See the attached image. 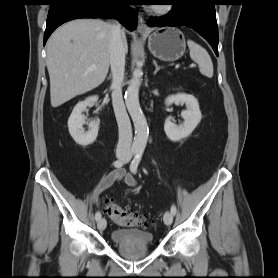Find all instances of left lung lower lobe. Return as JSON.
Segmentation results:
<instances>
[{"instance_id": "0a47b994", "label": "left lung lower lobe", "mask_w": 278, "mask_h": 278, "mask_svg": "<svg viewBox=\"0 0 278 278\" xmlns=\"http://www.w3.org/2000/svg\"><path fill=\"white\" fill-rule=\"evenodd\" d=\"M172 11L162 17L150 18V26H183L197 31L218 56L216 0H171Z\"/></svg>"}]
</instances>
